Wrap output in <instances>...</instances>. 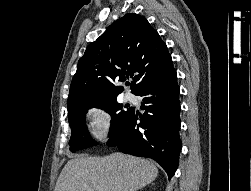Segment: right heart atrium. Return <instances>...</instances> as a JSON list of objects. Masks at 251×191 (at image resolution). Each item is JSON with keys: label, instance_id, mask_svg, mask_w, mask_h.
<instances>
[{"label": "right heart atrium", "instance_id": "1", "mask_svg": "<svg viewBox=\"0 0 251 191\" xmlns=\"http://www.w3.org/2000/svg\"><path fill=\"white\" fill-rule=\"evenodd\" d=\"M85 119L90 137L98 143L106 142L113 132L110 112L102 105H91L85 110Z\"/></svg>", "mask_w": 251, "mask_h": 191}]
</instances>
